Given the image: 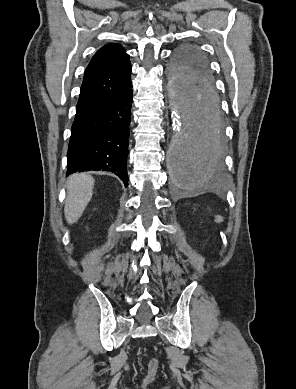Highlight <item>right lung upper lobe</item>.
<instances>
[{"instance_id":"1","label":"right lung upper lobe","mask_w":296,"mask_h":389,"mask_svg":"<svg viewBox=\"0 0 296 389\" xmlns=\"http://www.w3.org/2000/svg\"><path fill=\"white\" fill-rule=\"evenodd\" d=\"M131 70L129 55L121 45L110 43L99 49L84 73L76 109L122 92L131 84Z\"/></svg>"}]
</instances>
